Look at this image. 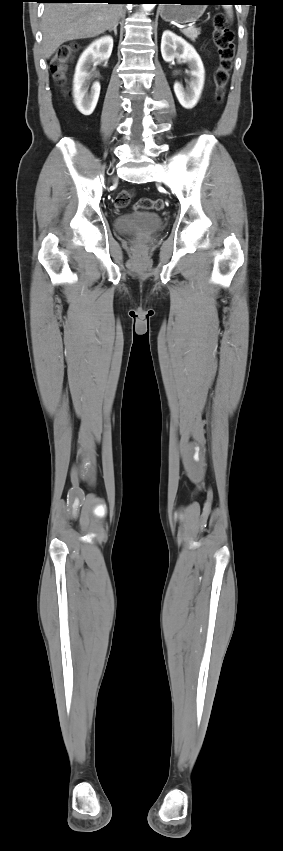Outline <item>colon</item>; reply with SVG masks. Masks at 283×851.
I'll list each match as a JSON object with an SVG mask.
<instances>
[{"mask_svg":"<svg viewBox=\"0 0 283 851\" xmlns=\"http://www.w3.org/2000/svg\"><path fill=\"white\" fill-rule=\"evenodd\" d=\"M212 40L219 56V66L215 72L214 80L216 85V101L220 103L225 95V88L229 81L235 56L234 34L228 19L221 13L214 16ZM77 49L78 45L76 43H70L62 45L57 50L50 61V70L56 79L62 80L65 77L67 67ZM132 197V190L120 191L115 198V206L119 209L129 207ZM133 206L136 208L161 210L164 207V201L162 199L142 198Z\"/></svg>","mask_w":283,"mask_h":851,"instance_id":"1","label":"colon"}]
</instances>
